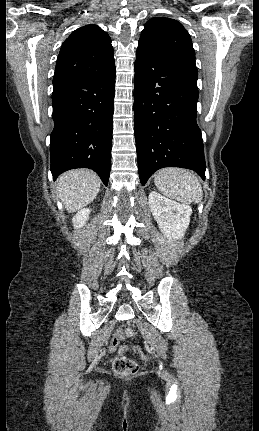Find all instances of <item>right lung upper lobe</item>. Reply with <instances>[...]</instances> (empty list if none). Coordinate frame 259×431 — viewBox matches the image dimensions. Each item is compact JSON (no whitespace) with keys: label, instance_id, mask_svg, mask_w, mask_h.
<instances>
[{"label":"right lung upper lobe","instance_id":"cb5924a9","mask_svg":"<svg viewBox=\"0 0 259 431\" xmlns=\"http://www.w3.org/2000/svg\"><path fill=\"white\" fill-rule=\"evenodd\" d=\"M114 67V50L109 35L97 25H86L64 41L56 62L53 84L103 73Z\"/></svg>","mask_w":259,"mask_h":431}]
</instances>
